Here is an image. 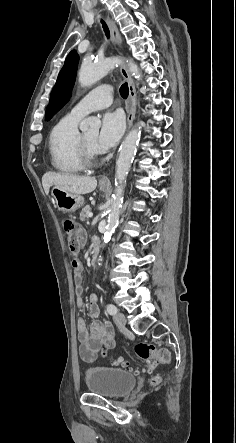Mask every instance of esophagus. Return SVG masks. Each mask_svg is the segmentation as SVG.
Wrapping results in <instances>:
<instances>
[{"label":"esophagus","instance_id":"obj_1","mask_svg":"<svg viewBox=\"0 0 236 443\" xmlns=\"http://www.w3.org/2000/svg\"><path fill=\"white\" fill-rule=\"evenodd\" d=\"M107 20H108L109 27L111 30L113 44L115 46H120L122 43V39H121V36H120L117 26H116L115 22L112 19H110L109 17L107 18ZM120 72L123 75V77L126 79V81L128 83V87H129V98H130V102H131L130 110L128 112V117H127L128 130H129L132 126V123H133V120L135 117V112H136V90H135V85H134L133 79L130 76L128 70L126 69V67L124 65H121ZM99 182L101 184H107L110 181H109V178L107 175H103L100 178Z\"/></svg>","mask_w":236,"mask_h":443}]
</instances>
